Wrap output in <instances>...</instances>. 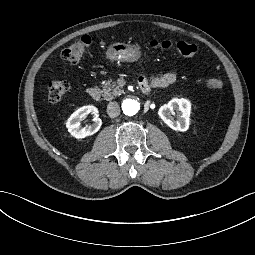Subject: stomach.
Masks as SVG:
<instances>
[{"label": "stomach", "mask_w": 255, "mask_h": 255, "mask_svg": "<svg viewBox=\"0 0 255 255\" xmlns=\"http://www.w3.org/2000/svg\"><path fill=\"white\" fill-rule=\"evenodd\" d=\"M143 51L140 46L126 42H114L106 47L104 57L110 62H137L141 60Z\"/></svg>", "instance_id": "obj_1"}]
</instances>
